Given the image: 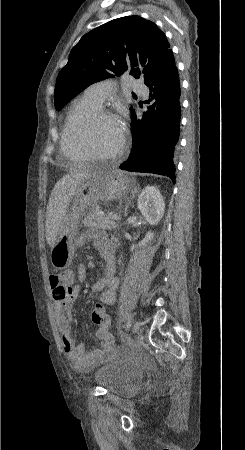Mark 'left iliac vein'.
I'll return each mask as SVG.
<instances>
[{"mask_svg": "<svg viewBox=\"0 0 245 450\" xmlns=\"http://www.w3.org/2000/svg\"><path fill=\"white\" fill-rule=\"evenodd\" d=\"M140 327H141V322L140 321H136L135 324L133 325L132 328V333L136 334L140 331Z\"/></svg>", "mask_w": 245, "mask_h": 450, "instance_id": "1", "label": "left iliac vein"}]
</instances>
